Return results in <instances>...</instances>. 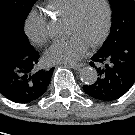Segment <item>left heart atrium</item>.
Listing matches in <instances>:
<instances>
[{"mask_svg":"<svg viewBox=\"0 0 135 135\" xmlns=\"http://www.w3.org/2000/svg\"><path fill=\"white\" fill-rule=\"evenodd\" d=\"M89 44L79 35L54 42L45 52L44 58L50 64H73L88 52Z\"/></svg>","mask_w":135,"mask_h":135,"instance_id":"left-heart-atrium-1","label":"left heart atrium"}]
</instances>
